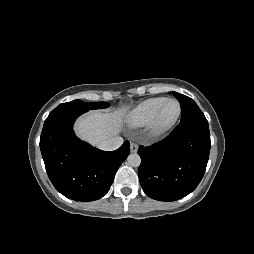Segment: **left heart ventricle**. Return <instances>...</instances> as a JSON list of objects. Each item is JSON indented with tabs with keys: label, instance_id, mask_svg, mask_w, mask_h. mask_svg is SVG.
Returning a JSON list of instances; mask_svg holds the SVG:
<instances>
[{
	"label": "left heart ventricle",
	"instance_id": "obj_1",
	"mask_svg": "<svg viewBox=\"0 0 254 254\" xmlns=\"http://www.w3.org/2000/svg\"><path fill=\"white\" fill-rule=\"evenodd\" d=\"M178 106L175 102H169L165 105L163 113L161 115V122H170L177 114Z\"/></svg>",
	"mask_w": 254,
	"mask_h": 254
}]
</instances>
